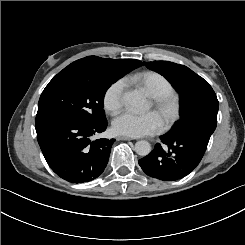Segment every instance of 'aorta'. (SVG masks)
<instances>
[{
	"instance_id": "1",
	"label": "aorta",
	"mask_w": 245,
	"mask_h": 245,
	"mask_svg": "<svg viewBox=\"0 0 245 245\" xmlns=\"http://www.w3.org/2000/svg\"><path fill=\"white\" fill-rule=\"evenodd\" d=\"M123 101L135 110H143L147 103L145 97L139 91H127L123 95ZM135 152L140 156H147L151 152V145L148 141L140 140L135 144Z\"/></svg>"
}]
</instances>
